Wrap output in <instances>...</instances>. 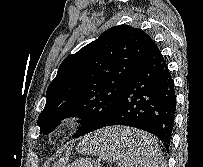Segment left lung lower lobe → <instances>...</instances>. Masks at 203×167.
I'll return each mask as SVG.
<instances>
[{
	"label": "left lung lower lobe",
	"mask_w": 203,
	"mask_h": 167,
	"mask_svg": "<svg viewBox=\"0 0 203 167\" xmlns=\"http://www.w3.org/2000/svg\"><path fill=\"white\" fill-rule=\"evenodd\" d=\"M176 112L174 81L156 46L134 70L113 115L100 126L125 125L159 138L169 151ZM99 128V129H100ZM125 141L105 140L103 146L122 148Z\"/></svg>",
	"instance_id": "0a47b994"
}]
</instances>
